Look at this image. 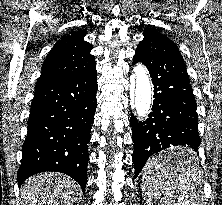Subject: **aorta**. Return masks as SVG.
<instances>
[{
	"label": "aorta",
	"instance_id": "obj_1",
	"mask_svg": "<svg viewBox=\"0 0 222 205\" xmlns=\"http://www.w3.org/2000/svg\"><path fill=\"white\" fill-rule=\"evenodd\" d=\"M128 97L134 115L139 120H145L152 104V89L148 71L140 63L130 76Z\"/></svg>",
	"mask_w": 222,
	"mask_h": 205
}]
</instances>
